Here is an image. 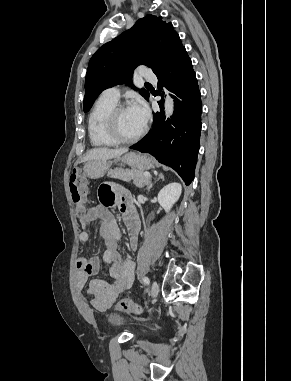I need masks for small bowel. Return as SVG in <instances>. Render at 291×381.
<instances>
[{
  "mask_svg": "<svg viewBox=\"0 0 291 381\" xmlns=\"http://www.w3.org/2000/svg\"><path fill=\"white\" fill-rule=\"evenodd\" d=\"M100 196H107L108 203L89 208L80 217L82 230L79 233V241L89 244L90 235L87 231L92 221H100L99 233L103 239L106 250L103 254V262L108 266L109 276L112 282L104 279L94 278L88 283V293L92 296L91 305L98 311L107 310L125 289L130 288L134 278V262L131 259H123L118 251L117 243L121 237L109 207L118 202V208L123 222L128 231L129 243L133 250L137 249L140 231L139 219L131 205L128 193L115 190L111 187L100 189ZM77 274L75 276L77 288L82 290L89 276L98 273L100 260L96 257H80L76 261Z\"/></svg>",
  "mask_w": 291,
  "mask_h": 381,
  "instance_id": "small-bowel-1",
  "label": "small bowel"
}]
</instances>
